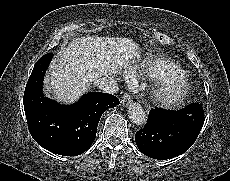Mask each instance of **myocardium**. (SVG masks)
<instances>
[{
	"instance_id": "obj_1",
	"label": "myocardium",
	"mask_w": 230,
	"mask_h": 181,
	"mask_svg": "<svg viewBox=\"0 0 230 181\" xmlns=\"http://www.w3.org/2000/svg\"><path fill=\"white\" fill-rule=\"evenodd\" d=\"M191 91V82L184 72H175L155 79L149 89L151 100L162 107L181 104Z\"/></svg>"
}]
</instances>
